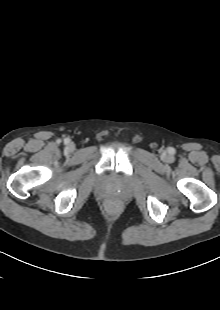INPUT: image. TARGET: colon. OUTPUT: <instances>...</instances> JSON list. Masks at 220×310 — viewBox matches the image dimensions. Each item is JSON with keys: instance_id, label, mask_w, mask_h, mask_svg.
Listing matches in <instances>:
<instances>
[{"instance_id": "colon-1", "label": "colon", "mask_w": 220, "mask_h": 310, "mask_svg": "<svg viewBox=\"0 0 220 310\" xmlns=\"http://www.w3.org/2000/svg\"><path fill=\"white\" fill-rule=\"evenodd\" d=\"M116 206H117V205L114 204V203L109 204V207H110V208H115Z\"/></svg>"}]
</instances>
